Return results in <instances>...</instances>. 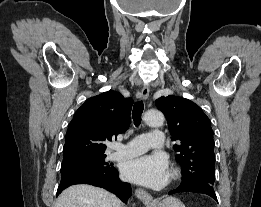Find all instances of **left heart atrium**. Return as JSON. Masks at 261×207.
<instances>
[{"mask_svg":"<svg viewBox=\"0 0 261 207\" xmlns=\"http://www.w3.org/2000/svg\"><path fill=\"white\" fill-rule=\"evenodd\" d=\"M122 174L130 182L160 187L166 182L168 163L161 154L144 155L127 161L123 165Z\"/></svg>","mask_w":261,"mask_h":207,"instance_id":"left-heart-atrium-1","label":"left heart atrium"}]
</instances>
